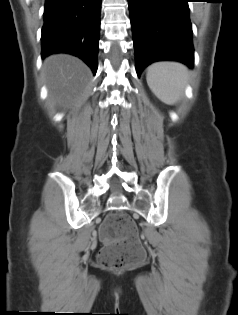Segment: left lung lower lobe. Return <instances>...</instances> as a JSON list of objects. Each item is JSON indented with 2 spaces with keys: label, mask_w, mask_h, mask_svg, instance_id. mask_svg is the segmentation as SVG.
<instances>
[{
  "label": "left lung lower lobe",
  "mask_w": 238,
  "mask_h": 315,
  "mask_svg": "<svg viewBox=\"0 0 238 315\" xmlns=\"http://www.w3.org/2000/svg\"><path fill=\"white\" fill-rule=\"evenodd\" d=\"M189 0H128L136 71L150 63L174 60L193 67Z\"/></svg>",
  "instance_id": "obj_1"
}]
</instances>
